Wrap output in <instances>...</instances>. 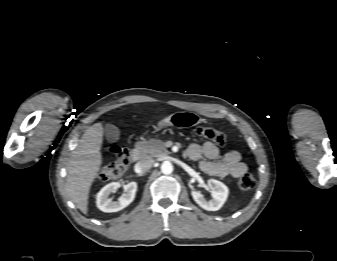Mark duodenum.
Instances as JSON below:
<instances>
[{"label":"duodenum","instance_id":"duodenum-1","mask_svg":"<svg viewBox=\"0 0 337 261\" xmlns=\"http://www.w3.org/2000/svg\"><path fill=\"white\" fill-rule=\"evenodd\" d=\"M140 156H141V153H140V150L135 148L132 150L131 152V159L133 161H138L140 159Z\"/></svg>","mask_w":337,"mask_h":261}]
</instances>
